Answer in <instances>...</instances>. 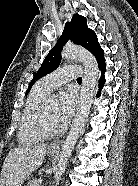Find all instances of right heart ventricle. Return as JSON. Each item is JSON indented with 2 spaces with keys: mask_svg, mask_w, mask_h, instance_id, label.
Instances as JSON below:
<instances>
[{
  "mask_svg": "<svg viewBox=\"0 0 138 186\" xmlns=\"http://www.w3.org/2000/svg\"><path fill=\"white\" fill-rule=\"evenodd\" d=\"M50 92L47 91L41 84L37 82L31 90L18 127V141L22 145H32L39 142L42 138L35 134L31 129V118L39 105L47 98Z\"/></svg>",
  "mask_w": 138,
  "mask_h": 186,
  "instance_id": "right-heart-ventricle-1",
  "label": "right heart ventricle"
}]
</instances>
